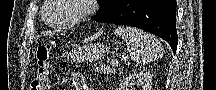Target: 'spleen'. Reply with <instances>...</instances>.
<instances>
[{"mask_svg":"<svg viewBox=\"0 0 216 90\" xmlns=\"http://www.w3.org/2000/svg\"><path fill=\"white\" fill-rule=\"evenodd\" d=\"M115 34L125 40L128 52L136 64H147L160 58L162 48L156 36L139 28H126V26H119Z\"/></svg>","mask_w":216,"mask_h":90,"instance_id":"1","label":"spleen"}]
</instances>
